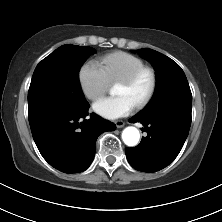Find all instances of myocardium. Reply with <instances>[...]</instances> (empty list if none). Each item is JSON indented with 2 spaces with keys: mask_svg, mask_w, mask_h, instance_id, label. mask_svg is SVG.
Listing matches in <instances>:
<instances>
[{
  "mask_svg": "<svg viewBox=\"0 0 222 222\" xmlns=\"http://www.w3.org/2000/svg\"><path fill=\"white\" fill-rule=\"evenodd\" d=\"M145 74H147L150 78V86L146 95L136 104V107L138 109H142L145 106H147L155 95L157 84H158L156 71L151 67L143 66L135 70L133 73H131L127 77L118 81V83H121L127 86H132Z\"/></svg>",
  "mask_w": 222,
  "mask_h": 222,
  "instance_id": "f54148a6",
  "label": "myocardium"
}]
</instances>
